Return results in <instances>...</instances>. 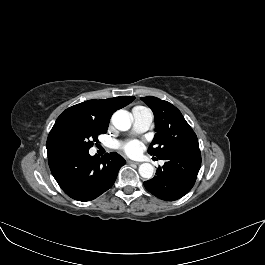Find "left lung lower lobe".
Here are the masks:
<instances>
[{"label":"left lung lower lobe","instance_id":"1","mask_svg":"<svg viewBox=\"0 0 265 265\" xmlns=\"http://www.w3.org/2000/svg\"><path fill=\"white\" fill-rule=\"evenodd\" d=\"M156 176L145 181V188L156 197L174 201L186 195L193 187L201 166L200 150L168 153Z\"/></svg>","mask_w":265,"mask_h":265}]
</instances>
